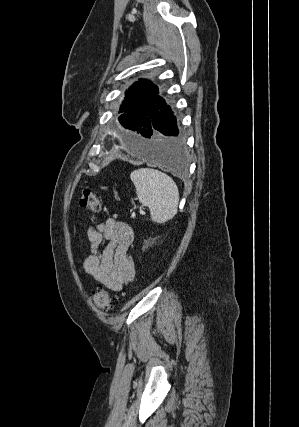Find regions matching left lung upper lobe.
<instances>
[{
  "label": "left lung upper lobe",
  "mask_w": 299,
  "mask_h": 427,
  "mask_svg": "<svg viewBox=\"0 0 299 427\" xmlns=\"http://www.w3.org/2000/svg\"><path fill=\"white\" fill-rule=\"evenodd\" d=\"M158 93L157 86L145 79H140L139 82L130 86L119 110L120 113H124L119 117L123 127L140 134L144 130L142 119L149 117L151 109H154L155 116L158 111L157 106L165 102Z\"/></svg>",
  "instance_id": "obj_1"
}]
</instances>
